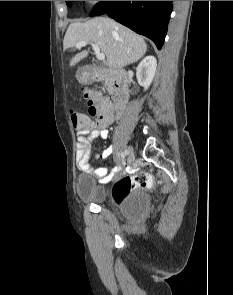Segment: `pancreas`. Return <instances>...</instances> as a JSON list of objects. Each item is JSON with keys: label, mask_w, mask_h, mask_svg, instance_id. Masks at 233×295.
<instances>
[{"label": "pancreas", "mask_w": 233, "mask_h": 295, "mask_svg": "<svg viewBox=\"0 0 233 295\" xmlns=\"http://www.w3.org/2000/svg\"><path fill=\"white\" fill-rule=\"evenodd\" d=\"M105 87L106 90L109 92V94H113L114 93V87H113V80L108 78L105 80Z\"/></svg>", "instance_id": "obj_1"}]
</instances>
